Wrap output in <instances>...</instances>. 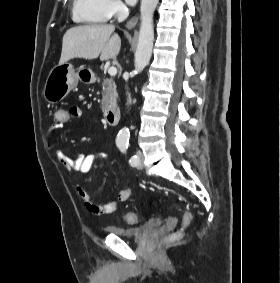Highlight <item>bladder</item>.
Returning a JSON list of instances; mask_svg holds the SVG:
<instances>
[{"label":"bladder","instance_id":"bladder-1","mask_svg":"<svg viewBox=\"0 0 280 283\" xmlns=\"http://www.w3.org/2000/svg\"><path fill=\"white\" fill-rule=\"evenodd\" d=\"M163 224V219L152 218L141 225L120 226L110 225L104 228L107 234L119 236L133 241H141L150 234L157 231Z\"/></svg>","mask_w":280,"mask_h":283}]
</instances>
